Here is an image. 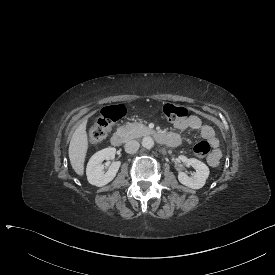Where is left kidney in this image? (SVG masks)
Listing matches in <instances>:
<instances>
[{
    "label": "left kidney",
    "instance_id": "1",
    "mask_svg": "<svg viewBox=\"0 0 275 275\" xmlns=\"http://www.w3.org/2000/svg\"><path fill=\"white\" fill-rule=\"evenodd\" d=\"M181 159L184 160L188 165L194 167L196 172L192 177H188L186 173L181 172L178 175L179 182L191 189L197 190L202 188L205 185L206 178L209 175L208 167L204 163L194 158L185 159V157H181Z\"/></svg>",
    "mask_w": 275,
    "mask_h": 275
}]
</instances>
